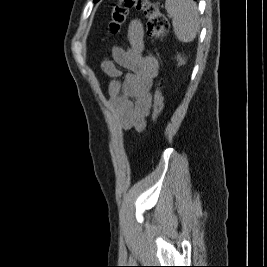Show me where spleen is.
Wrapping results in <instances>:
<instances>
[{"instance_id":"1","label":"spleen","mask_w":267,"mask_h":267,"mask_svg":"<svg viewBox=\"0 0 267 267\" xmlns=\"http://www.w3.org/2000/svg\"><path fill=\"white\" fill-rule=\"evenodd\" d=\"M165 9L172 18L177 39L181 42L193 41L200 28L196 3L193 0H165Z\"/></svg>"}]
</instances>
